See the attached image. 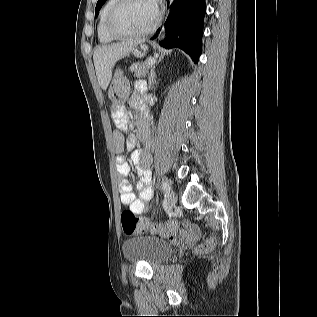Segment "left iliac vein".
Wrapping results in <instances>:
<instances>
[{
	"mask_svg": "<svg viewBox=\"0 0 317 317\" xmlns=\"http://www.w3.org/2000/svg\"><path fill=\"white\" fill-rule=\"evenodd\" d=\"M177 200H178L177 194L175 193V191L171 190L169 192L168 202H167L169 210H172L175 207Z\"/></svg>",
	"mask_w": 317,
	"mask_h": 317,
	"instance_id": "obj_1",
	"label": "left iliac vein"
}]
</instances>
